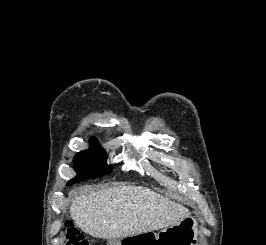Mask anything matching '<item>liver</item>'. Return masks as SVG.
<instances>
[{
  "instance_id": "1",
  "label": "liver",
  "mask_w": 266,
  "mask_h": 245,
  "mask_svg": "<svg viewBox=\"0 0 266 245\" xmlns=\"http://www.w3.org/2000/svg\"><path fill=\"white\" fill-rule=\"evenodd\" d=\"M71 217L84 233L96 239H124L181 223L186 207L161 197L148 187L113 185L75 197Z\"/></svg>"
}]
</instances>
